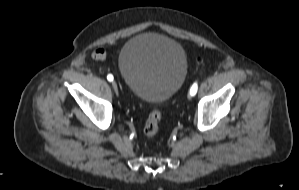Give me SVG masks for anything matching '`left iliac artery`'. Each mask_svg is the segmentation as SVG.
Listing matches in <instances>:
<instances>
[{"instance_id": "left-iliac-artery-1", "label": "left iliac artery", "mask_w": 299, "mask_h": 190, "mask_svg": "<svg viewBox=\"0 0 299 190\" xmlns=\"http://www.w3.org/2000/svg\"><path fill=\"white\" fill-rule=\"evenodd\" d=\"M197 89H198L197 83H194L190 89V95L194 96L197 92Z\"/></svg>"}]
</instances>
